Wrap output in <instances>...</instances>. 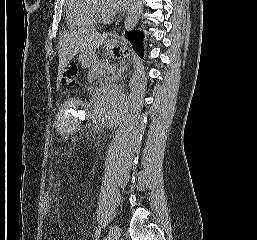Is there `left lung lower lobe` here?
<instances>
[{"mask_svg": "<svg viewBox=\"0 0 257 240\" xmlns=\"http://www.w3.org/2000/svg\"><path fill=\"white\" fill-rule=\"evenodd\" d=\"M126 36L135 47V50L137 51V53L140 56H142L143 55V49H142L143 34L138 31H129V32H126Z\"/></svg>", "mask_w": 257, "mask_h": 240, "instance_id": "0a47b994", "label": "left lung lower lobe"}]
</instances>
